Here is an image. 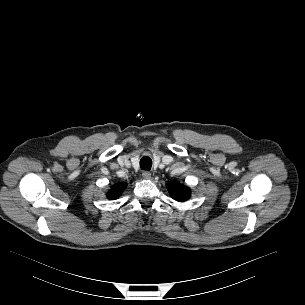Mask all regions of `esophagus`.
Instances as JSON below:
<instances>
[{"instance_id":"obj_1","label":"esophagus","mask_w":305,"mask_h":305,"mask_svg":"<svg viewBox=\"0 0 305 305\" xmlns=\"http://www.w3.org/2000/svg\"><path fill=\"white\" fill-rule=\"evenodd\" d=\"M142 176L144 179L149 180L151 178V173L149 171H143Z\"/></svg>"}]
</instances>
